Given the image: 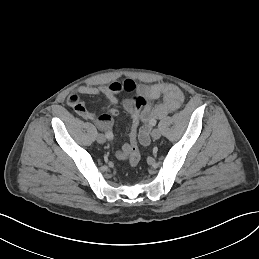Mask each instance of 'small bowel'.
<instances>
[{
  "mask_svg": "<svg viewBox=\"0 0 259 259\" xmlns=\"http://www.w3.org/2000/svg\"><path fill=\"white\" fill-rule=\"evenodd\" d=\"M134 90L137 91L138 95L145 97L147 100V105L141 111L143 126L138 135L140 144L143 147H147L150 144V131L155 121L177 110L183 104L184 94L178 86L166 82L137 84L131 79L100 86L81 85L77 88V93H72L68 96L67 103L84 119L93 121L102 130L109 131L113 125V117L119 116V111L115 108L118 102L116 95L123 91L129 92ZM79 94L101 95L105 97L108 113L96 115L89 111L80 99ZM160 97H162V101L158 102ZM122 106L127 112L132 113L134 110L132 99L124 100ZM128 155V144H124L116 154L117 158L121 160L126 159Z\"/></svg>",
  "mask_w": 259,
  "mask_h": 259,
  "instance_id": "c3829d8e",
  "label": "small bowel"
}]
</instances>
